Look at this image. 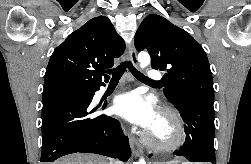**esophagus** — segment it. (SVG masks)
<instances>
[{
    "label": "esophagus",
    "instance_id": "esophagus-1",
    "mask_svg": "<svg viewBox=\"0 0 251 164\" xmlns=\"http://www.w3.org/2000/svg\"><path fill=\"white\" fill-rule=\"evenodd\" d=\"M128 54H129V58L132 64L136 66L137 65V51L133 43L129 45ZM129 141H130V146H131L133 154L135 156H139L142 151L140 142L132 135H130Z\"/></svg>",
    "mask_w": 251,
    "mask_h": 164
}]
</instances>
